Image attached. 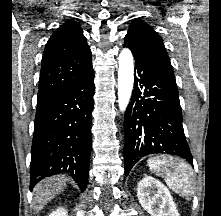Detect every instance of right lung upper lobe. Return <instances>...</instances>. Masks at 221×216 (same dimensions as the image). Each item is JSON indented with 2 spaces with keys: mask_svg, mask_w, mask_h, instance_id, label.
Here are the masks:
<instances>
[{
  "mask_svg": "<svg viewBox=\"0 0 221 216\" xmlns=\"http://www.w3.org/2000/svg\"><path fill=\"white\" fill-rule=\"evenodd\" d=\"M93 72L91 51L79 24L68 21L46 44L37 104L86 78Z\"/></svg>",
  "mask_w": 221,
  "mask_h": 216,
  "instance_id": "cb5924a9",
  "label": "right lung upper lobe"
}]
</instances>
